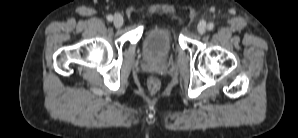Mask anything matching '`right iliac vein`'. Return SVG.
<instances>
[{
	"instance_id": "obj_1",
	"label": "right iliac vein",
	"mask_w": 298,
	"mask_h": 138,
	"mask_svg": "<svg viewBox=\"0 0 298 138\" xmlns=\"http://www.w3.org/2000/svg\"><path fill=\"white\" fill-rule=\"evenodd\" d=\"M123 22H124L123 17L120 14L115 15L113 20L115 27L117 28L121 27L123 25Z\"/></svg>"
}]
</instances>
